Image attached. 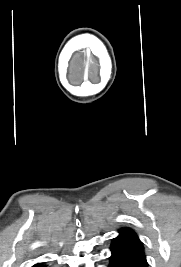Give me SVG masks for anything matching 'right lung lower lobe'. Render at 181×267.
<instances>
[{
	"mask_svg": "<svg viewBox=\"0 0 181 267\" xmlns=\"http://www.w3.org/2000/svg\"><path fill=\"white\" fill-rule=\"evenodd\" d=\"M33 267H44L41 263L35 264Z\"/></svg>",
	"mask_w": 181,
	"mask_h": 267,
	"instance_id": "1",
	"label": "right lung lower lobe"
}]
</instances>
